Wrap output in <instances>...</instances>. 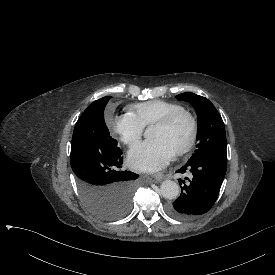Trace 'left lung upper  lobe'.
Returning <instances> with one entry per match:
<instances>
[{
    "mask_svg": "<svg viewBox=\"0 0 275 275\" xmlns=\"http://www.w3.org/2000/svg\"><path fill=\"white\" fill-rule=\"evenodd\" d=\"M176 97L191 103L198 117V140L200 142L189 161H195L211 154L226 155L225 127L214 105L205 97L192 92H185Z\"/></svg>",
    "mask_w": 275,
    "mask_h": 275,
    "instance_id": "1",
    "label": "left lung upper lobe"
}]
</instances>
